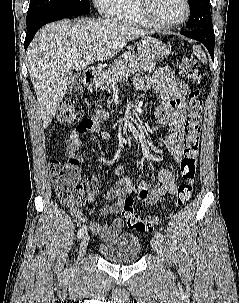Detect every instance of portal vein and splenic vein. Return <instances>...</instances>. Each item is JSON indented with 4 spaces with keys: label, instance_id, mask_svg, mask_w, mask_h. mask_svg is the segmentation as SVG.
<instances>
[{
    "label": "portal vein and splenic vein",
    "instance_id": "portal-vein-and-splenic-vein-1",
    "mask_svg": "<svg viewBox=\"0 0 239 303\" xmlns=\"http://www.w3.org/2000/svg\"><path fill=\"white\" fill-rule=\"evenodd\" d=\"M95 49H96V46H91V47L89 48L90 51H94Z\"/></svg>",
    "mask_w": 239,
    "mask_h": 303
}]
</instances>
